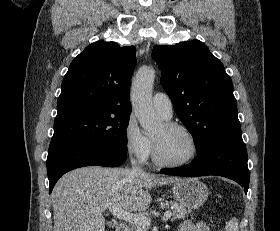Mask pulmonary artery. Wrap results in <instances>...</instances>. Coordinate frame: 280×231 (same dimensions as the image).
I'll return each instance as SVG.
<instances>
[{"label":"pulmonary artery","mask_w":280,"mask_h":231,"mask_svg":"<svg viewBox=\"0 0 280 231\" xmlns=\"http://www.w3.org/2000/svg\"><path fill=\"white\" fill-rule=\"evenodd\" d=\"M152 105L165 119L173 116V107L170 98L162 92L156 93L152 98Z\"/></svg>","instance_id":"obj_1"}]
</instances>
